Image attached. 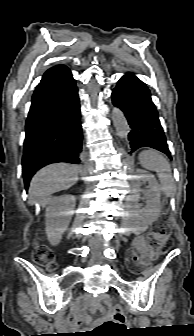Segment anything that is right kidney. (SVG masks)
I'll return each mask as SVG.
<instances>
[{
  "mask_svg": "<svg viewBox=\"0 0 194 336\" xmlns=\"http://www.w3.org/2000/svg\"><path fill=\"white\" fill-rule=\"evenodd\" d=\"M76 199L72 195L55 197L48 202L45 213V231L49 242L57 245L74 213Z\"/></svg>",
  "mask_w": 194,
  "mask_h": 336,
  "instance_id": "right-kidney-1",
  "label": "right kidney"
}]
</instances>
